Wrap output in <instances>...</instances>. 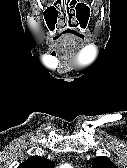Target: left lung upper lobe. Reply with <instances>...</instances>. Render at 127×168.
<instances>
[{
  "label": "left lung upper lobe",
  "mask_w": 127,
  "mask_h": 168,
  "mask_svg": "<svg viewBox=\"0 0 127 168\" xmlns=\"http://www.w3.org/2000/svg\"><path fill=\"white\" fill-rule=\"evenodd\" d=\"M92 168H118L109 158L105 156L96 157L92 162Z\"/></svg>",
  "instance_id": "obj_1"
}]
</instances>
